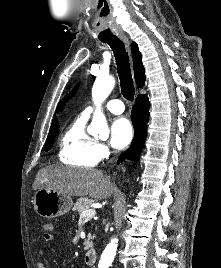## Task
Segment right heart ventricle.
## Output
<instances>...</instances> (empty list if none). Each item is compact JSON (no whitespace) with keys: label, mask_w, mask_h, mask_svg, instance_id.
Instances as JSON below:
<instances>
[{"label":"right heart ventricle","mask_w":221,"mask_h":268,"mask_svg":"<svg viewBox=\"0 0 221 268\" xmlns=\"http://www.w3.org/2000/svg\"><path fill=\"white\" fill-rule=\"evenodd\" d=\"M87 119L79 115L62 134L58 158L63 164L90 168L98 163L97 142L85 129Z\"/></svg>","instance_id":"right-heart-ventricle-1"}]
</instances>
